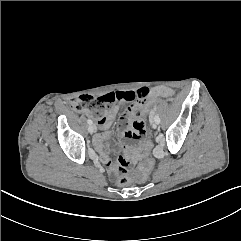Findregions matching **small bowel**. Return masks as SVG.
<instances>
[{"label": "small bowel", "mask_w": 241, "mask_h": 241, "mask_svg": "<svg viewBox=\"0 0 241 241\" xmlns=\"http://www.w3.org/2000/svg\"><path fill=\"white\" fill-rule=\"evenodd\" d=\"M110 94L117 99L116 106L110 109L106 117L98 120V123L102 129L109 128L118 111V107H124L121 113L122 137L124 140L133 141L142 139L145 134L144 122L139 118L140 105L148 101L150 97H168L173 95L174 92L172 89L164 86L151 90L147 86H140L135 91L114 92ZM108 136L107 133H98L94 137V146L99 153L101 162L107 167L110 176L113 177L117 173V170L115 165L111 163L104 144ZM123 151L128 158H134L137 155L136 149L128 144L123 145Z\"/></svg>", "instance_id": "small-bowel-1"}]
</instances>
